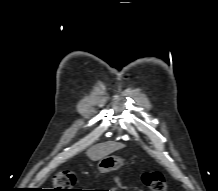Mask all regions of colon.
<instances>
[{
  "instance_id": "5ec220e1",
  "label": "colon",
  "mask_w": 218,
  "mask_h": 191,
  "mask_svg": "<svg viewBox=\"0 0 218 191\" xmlns=\"http://www.w3.org/2000/svg\"><path fill=\"white\" fill-rule=\"evenodd\" d=\"M142 182L150 191H166V180L161 172H145ZM75 183L76 175L72 171L60 172L54 178L55 191H79L74 189Z\"/></svg>"
}]
</instances>
